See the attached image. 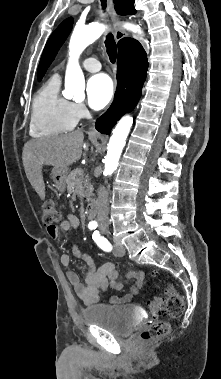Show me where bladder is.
<instances>
[{
    "label": "bladder",
    "mask_w": 221,
    "mask_h": 379,
    "mask_svg": "<svg viewBox=\"0 0 221 379\" xmlns=\"http://www.w3.org/2000/svg\"><path fill=\"white\" fill-rule=\"evenodd\" d=\"M83 319L87 324L99 326L116 336L130 334L140 322L133 307L111 304L85 309Z\"/></svg>",
    "instance_id": "obj_1"
}]
</instances>
